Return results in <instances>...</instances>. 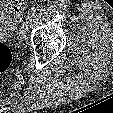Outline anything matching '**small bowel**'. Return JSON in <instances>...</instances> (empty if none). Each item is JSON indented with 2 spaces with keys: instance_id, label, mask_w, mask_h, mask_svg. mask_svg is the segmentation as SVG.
<instances>
[{
  "instance_id": "small-bowel-1",
  "label": "small bowel",
  "mask_w": 113,
  "mask_h": 113,
  "mask_svg": "<svg viewBox=\"0 0 113 113\" xmlns=\"http://www.w3.org/2000/svg\"><path fill=\"white\" fill-rule=\"evenodd\" d=\"M0 16L2 17V16H4L3 14H0Z\"/></svg>"
}]
</instances>
